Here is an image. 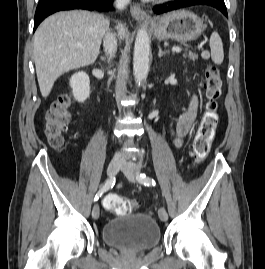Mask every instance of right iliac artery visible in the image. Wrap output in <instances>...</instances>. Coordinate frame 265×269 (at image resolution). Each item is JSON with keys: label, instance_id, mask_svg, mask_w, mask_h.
<instances>
[{"label": "right iliac artery", "instance_id": "obj_1", "mask_svg": "<svg viewBox=\"0 0 265 269\" xmlns=\"http://www.w3.org/2000/svg\"><path fill=\"white\" fill-rule=\"evenodd\" d=\"M115 177H111L107 179L103 185V187L96 193L94 201H98V199L102 196L103 193H105L107 190L113 188L115 185Z\"/></svg>", "mask_w": 265, "mask_h": 269}]
</instances>
